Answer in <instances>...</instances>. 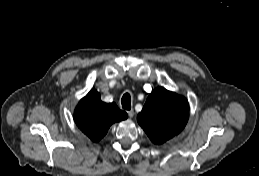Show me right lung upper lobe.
Returning a JSON list of instances; mask_svg holds the SVG:
<instances>
[{
  "label": "right lung upper lobe",
  "instance_id": "right-lung-upper-lobe-1",
  "mask_svg": "<svg viewBox=\"0 0 259 176\" xmlns=\"http://www.w3.org/2000/svg\"><path fill=\"white\" fill-rule=\"evenodd\" d=\"M128 117L115 103H104L96 90H91L82 98L75 109L74 121L93 141L98 142L105 136L109 127Z\"/></svg>",
  "mask_w": 259,
  "mask_h": 176
}]
</instances>
